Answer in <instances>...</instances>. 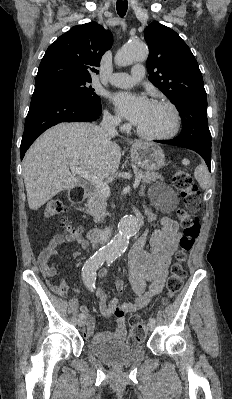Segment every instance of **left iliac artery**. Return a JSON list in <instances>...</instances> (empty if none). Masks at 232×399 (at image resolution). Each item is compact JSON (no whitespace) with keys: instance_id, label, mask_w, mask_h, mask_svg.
Instances as JSON below:
<instances>
[{"instance_id":"left-iliac-artery-1","label":"left iliac artery","mask_w":232,"mask_h":399,"mask_svg":"<svg viewBox=\"0 0 232 399\" xmlns=\"http://www.w3.org/2000/svg\"><path fill=\"white\" fill-rule=\"evenodd\" d=\"M119 256L118 253H109L107 255V263L111 264L113 261H115V259ZM150 322H155V318L154 317H150Z\"/></svg>"}]
</instances>
